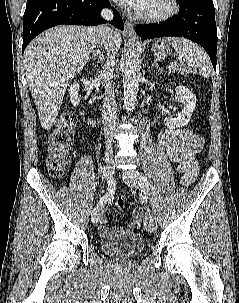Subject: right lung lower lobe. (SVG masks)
I'll list each match as a JSON object with an SVG mask.
<instances>
[{
    "label": "right lung lower lobe",
    "instance_id": "1",
    "mask_svg": "<svg viewBox=\"0 0 239 303\" xmlns=\"http://www.w3.org/2000/svg\"><path fill=\"white\" fill-rule=\"evenodd\" d=\"M111 8L116 28L124 24L109 0H27L23 19L22 52L29 42L42 31L60 24L99 25L106 23L100 17L103 8Z\"/></svg>",
    "mask_w": 239,
    "mask_h": 303
}]
</instances>
